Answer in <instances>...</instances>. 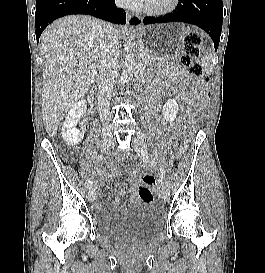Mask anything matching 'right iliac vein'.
<instances>
[{"mask_svg":"<svg viewBox=\"0 0 265 273\" xmlns=\"http://www.w3.org/2000/svg\"><path fill=\"white\" fill-rule=\"evenodd\" d=\"M114 142V138L110 133H106L102 136V141H101V149L102 151L108 149ZM96 197L95 194V189H90V191L88 192V200L90 202L94 201Z\"/></svg>","mask_w":265,"mask_h":273,"instance_id":"63e3f726","label":"right iliac vein"}]
</instances>
